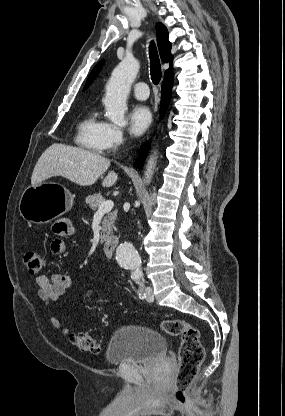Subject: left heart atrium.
Returning a JSON list of instances; mask_svg holds the SVG:
<instances>
[{"label": "left heart atrium", "instance_id": "left-heart-atrium-1", "mask_svg": "<svg viewBox=\"0 0 285 416\" xmlns=\"http://www.w3.org/2000/svg\"><path fill=\"white\" fill-rule=\"evenodd\" d=\"M130 128L133 134L138 135L144 132L151 122V112L144 105L133 107L129 115Z\"/></svg>", "mask_w": 285, "mask_h": 416}]
</instances>
